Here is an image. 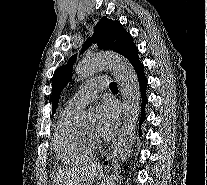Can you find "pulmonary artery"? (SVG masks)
Segmentation results:
<instances>
[{
  "instance_id": "pulmonary-artery-1",
  "label": "pulmonary artery",
  "mask_w": 207,
  "mask_h": 185,
  "mask_svg": "<svg viewBox=\"0 0 207 185\" xmlns=\"http://www.w3.org/2000/svg\"><path fill=\"white\" fill-rule=\"evenodd\" d=\"M102 82H108V77H97V81H89V86H81V92L77 93L67 103L66 109L76 111L90 103L98 94L103 91Z\"/></svg>"
}]
</instances>
